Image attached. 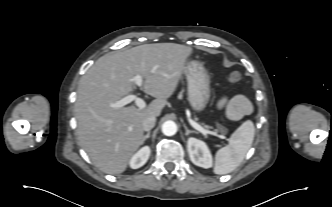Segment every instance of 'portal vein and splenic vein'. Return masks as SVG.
<instances>
[{
    "label": "portal vein and splenic vein",
    "mask_w": 332,
    "mask_h": 207,
    "mask_svg": "<svg viewBox=\"0 0 332 207\" xmlns=\"http://www.w3.org/2000/svg\"><path fill=\"white\" fill-rule=\"evenodd\" d=\"M132 81L138 86V87H142V83H143V78L142 76L136 75L132 78ZM135 102V104L143 109L146 107V103L145 101L138 97L137 95H127L124 98H122L121 100L117 101L116 103L113 104V107L115 108H121L124 107L125 105L131 103V102ZM190 124L192 125V127H194L196 130H198L199 132H201L203 135H208L209 131L206 130L205 128H203L201 125H199L198 123L194 122L193 120H189Z\"/></svg>",
    "instance_id": "18ae733b"
}]
</instances>
